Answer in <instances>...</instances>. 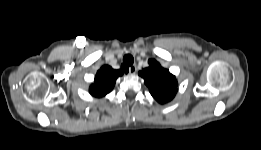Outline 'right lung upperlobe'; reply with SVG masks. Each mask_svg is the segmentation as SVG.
I'll return each instance as SVG.
<instances>
[{
  "instance_id": "1",
  "label": "right lung upper lobe",
  "mask_w": 261,
  "mask_h": 150,
  "mask_svg": "<svg viewBox=\"0 0 261 150\" xmlns=\"http://www.w3.org/2000/svg\"><path fill=\"white\" fill-rule=\"evenodd\" d=\"M123 73L114 70L110 66H103L96 74L94 83L90 86L89 92L95 97H102L108 94L114 87L116 79Z\"/></svg>"
}]
</instances>
